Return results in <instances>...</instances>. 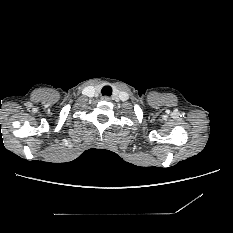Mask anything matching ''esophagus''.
<instances>
[{
  "label": "esophagus",
  "instance_id": "1",
  "mask_svg": "<svg viewBox=\"0 0 233 233\" xmlns=\"http://www.w3.org/2000/svg\"><path fill=\"white\" fill-rule=\"evenodd\" d=\"M102 100H103V101H109V100H110V97H108V96H103V97H102Z\"/></svg>",
  "mask_w": 233,
  "mask_h": 233
}]
</instances>
